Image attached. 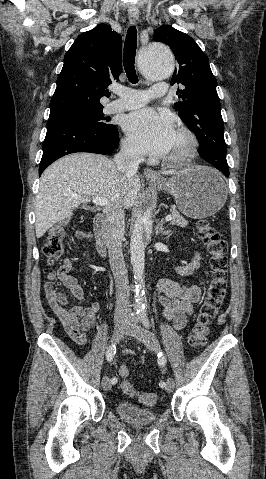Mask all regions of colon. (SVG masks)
Wrapping results in <instances>:
<instances>
[{
	"instance_id": "1",
	"label": "colon",
	"mask_w": 266,
	"mask_h": 479,
	"mask_svg": "<svg viewBox=\"0 0 266 479\" xmlns=\"http://www.w3.org/2000/svg\"><path fill=\"white\" fill-rule=\"evenodd\" d=\"M197 235L204 243L209 254V263L211 268V279L208 284L206 294L199 305L198 312L193 323L189 336V345L192 348H201L205 346L207 335L212 320L224 299L227 287V257L226 241L220 237L217 230L211 226L208 220L202 219L196 225ZM64 226L55 225L48 233L47 241L44 246V254L47 257V263L53 268L49 274L47 283L56 285L57 279L69 268L68 261L64 258ZM122 378L120 387L126 394L136 396L144 405H154L157 402V394L153 392H137L128 380L129 369L121 366L118 370Z\"/></svg>"
}]
</instances>
